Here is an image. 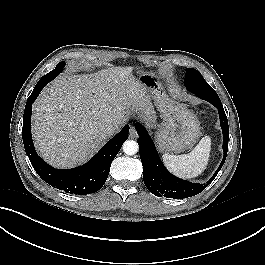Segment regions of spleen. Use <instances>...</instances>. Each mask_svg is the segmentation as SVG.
<instances>
[{
    "label": "spleen",
    "mask_w": 265,
    "mask_h": 265,
    "mask_svg": "<svg viewBox=\"0 0 265 265\" xmlns=\"http://www.w3.org/2000/svg\"><path fill=\"white\" fill-rule=\"evenodd\" d=\"M210 150L211 139L205 136L189 154L178 156L164 154L162 159L169 171L175 175L182 178H194L205 170Z\"/></svg>",
    "instance_id": "1"
}]
</instances>
